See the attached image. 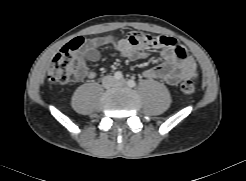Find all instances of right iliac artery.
Here are the masks:
<instances>
[{
    "label": "right iliac artery",
    "instance_id": "right-iliac-artery-1",
    "mask_svg": "<svg viewBox=\"0 0 246 181\" xmlns=\"http://www.w3.org/2000/svg\"><path fill=\"white\" fill-rule=\"evenodd\" d=\"M114 77L117 80H121L123 78V75L121 72L117 71V72H115Z\"/></svg>",
    "mask_w": 246,
    "mask_h": 181
}]
</instances>
